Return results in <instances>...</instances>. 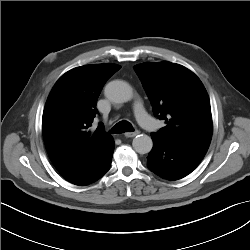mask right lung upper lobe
Returning a JSON list of instances; mask_svg holds the SVG:
<instances>
[{
    "label": "right lung upper lobe",
    "mask_w": 250,
    "mask_h": 250,
    "mask_svg": "<svg viewBox=\"0 0 250 250\" xmlns=\"http://www.w3.org/2000/svg\"><path fill=\"white\" fill-rule=\"evenodd\" d=\"M120 68L116 64L77 67L54 85L44 108L42 132L48 155L59 172L79 164L112 139L102 123L94 132L89 127L105 82Z\"/></svg>",
    "instance_id": "cb5924a9"
}]
</instances>
